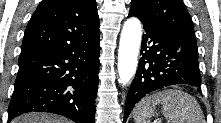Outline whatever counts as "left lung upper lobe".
Segmentation results:
<instances>
[{
	"label": "left lung upper lobe",
	"mask_w": 221,
	"mask_h": 123,
	"mask_svg": "<svg viewBox=\"0 0 221 123\" xmlns=\"http://www.w3.org/2000/svg\"><path fill=\"white\" fill-rule=\"evenodd\" d=\"M130 9L153 24L196 42L193 22L182 0H132Z\"/></svg>",
	"instance_id": "1"
}]
</instances>
